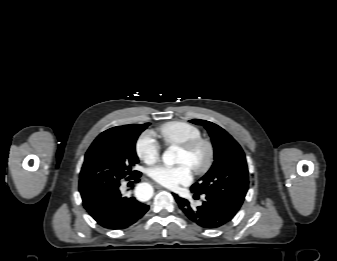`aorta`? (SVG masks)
<instances>
[{
    "label": "aorta",
    "instance_id": "obj_1",
    "mask_svg": "<svg viewBox=\"0 0 337 261\" xmlns=\"http://www.w3.org/2000/svg\"><path fill=\"white\" fill-rule=\"evenodd\" d=\"M179 147L172 145L170 146L162 156L163 162L167 165H173L177 162V152ZM135 195L137 199L141 201L149 200L153 195V188L148 183H140L135 188Z\"/></svg>",
    "mask_w": 337,
    "mask_h": 261
}]
</instances>
